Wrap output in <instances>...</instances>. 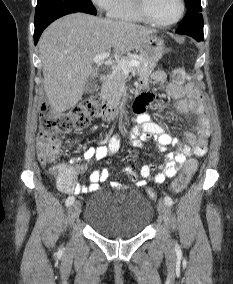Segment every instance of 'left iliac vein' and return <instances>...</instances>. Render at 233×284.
<instances>
[{
  "instance_id": "1",
  "label": "left iliac vein",
  "mask_w": 233,
  "mask_h": 284,
  "mask_svg": "<svg viewBox=\"0 0 233 284\" xmlns=\"http://www.w3.org/2000/svg\"><path fill=\"white\" fill-rule=\"evenodd\" d=\"M157 209H158L160 218L164 221L165 226L168 228L169 220H170V209L168 205L164 201L160 200L158 202Z\"/></svg>"
}]
</instances>
